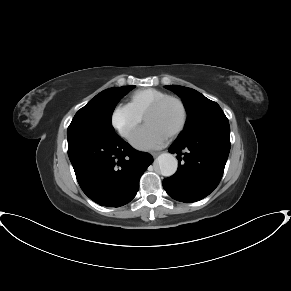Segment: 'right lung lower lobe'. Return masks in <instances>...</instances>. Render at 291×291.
I'll return each mask as SVG.
<instances>
[{
    "label": "right lung lower lobe",
    "mask_w": 291,
    "mask_h": 291,
    "mask_svg": "<svg viewBox=\"0 0 291 291\" xmlns=\"http://www.w3.org/2000/svg\"><path fill=\"white\" fill-rule=\"evenodd\" d=\"M67 139L77 181L90 199L120 207L135 197L140 177L153 162L151 155L133 149L119 136L77 134Z\"/></svg>",
    "instance_id": "1"
}]
</instances>
